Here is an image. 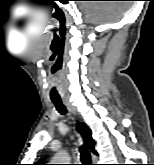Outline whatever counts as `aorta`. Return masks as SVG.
<instances>
[{
    "label": "aorta",
    "mask_w": 154,
    "mask_h": 165,
    "mask_svg": "<svg viewBox=\"0 0 154 165\" xmlns=\"http://www.w3.org/2000/svg\"><path fill=\"white\" fill-rule=\"evenodd\" d=\"M52 162L53 164H69L70 157L67 152L60 151L54 156Z\"/></svg>",
    "instance_id": "1"
}]
</instances>
